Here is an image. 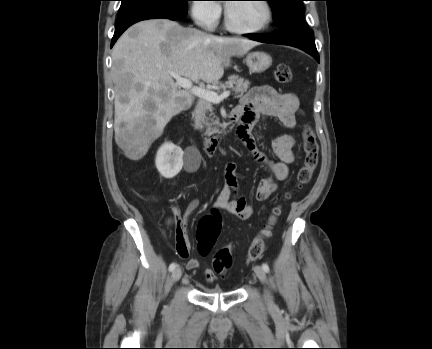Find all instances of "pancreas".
I'll use <instances>...</instances> for the list:
<instances>
[{"mask_svg":"<svg viewBox=\"0 0 432 349\" xmlns=\"http://www.w3.org/2000/svg\"><path fill=\"white\" fill-rule=\"evenodd\" d=\"M250 82L238 75H231L228 80L220 84V89L224 90L227 87H231L235 93V97H241L249 88ZM212 102L200 99L194 110V121L195 128L203 129L206 128L205 134L211 136L218 132L217 124L218 119L214 115Z\"/></svg>","mask_w":432,"mask_h":349,"instance_id":"1","label":"pancreas"}]
</instances>
